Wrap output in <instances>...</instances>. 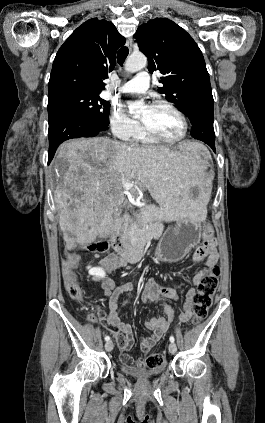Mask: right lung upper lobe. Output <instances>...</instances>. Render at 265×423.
Returning a JSON list of instances; mask_svg holds the SVG:
<instances>
[{"label":"right lung upper lobe","mask_w":265,"mask_h":423,"mask_svg":"<svg viewBox=\"0 0 265 423\" xmlns=\"http://www.w3.org/2000/svg\"><path fill=\"white\" fill-rule=\"evenodd\" d=\"M125 41L105 19L92 18L80 25L56 54L48 97L67 91L100 94L105 87L102 80L113 70L116 51Z\"/></svg>","instance_id":"1"}]
</instances>
